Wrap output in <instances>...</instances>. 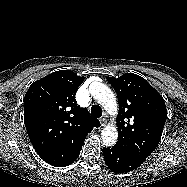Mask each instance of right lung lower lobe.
<instances>
[{
	"mask_svg": "<svg viewBox=\"0 0 187 187\" xmlns=\"http://www.w3.org/2000/svg\"><path fill=\"white\" fill-rule=\"evenodd\" d=\"M78 155H79V153L77 154V156L75 157V159L72 162H74L76 160V158L78 157Z\"/></svg>",
	"mask_w": 187,
	"mask_h": 187,
	"instance_id": "98d812e1",
	"label": "right lung lower lobe"
}]
</instances>
